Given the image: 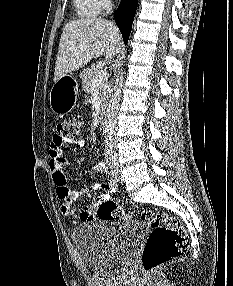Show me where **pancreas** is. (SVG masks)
Returning a JSON list of instances; mask_svg holds the SVG:
<instances>
[{"label": "pancreas", "mask_w": 233, "mask_h": 286, "mask_svg": "<svg viewBox=\"0 0 233 286\" xmlns=\"http://www.w3.org/2000/svg\"><path fill=\"white\" fill-rule=\"evenodd\" d=\"M98 71H99L98 68L91 67V68L84 69L80 75L82 78L84 91H86L89 94H92L93 90L97 88L99 91V95H100V103L103 104V102L105 101L107 81L104 79V81L100 83L94 82V78Z\"/></svg>", "instance_id": "pancreas-1"}]
</instances>
